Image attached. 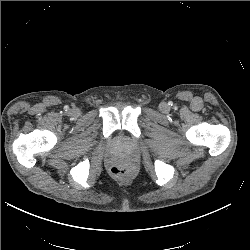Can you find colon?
<instances>
[{"instance_id":"colon-1","label":"colon","mask_w":250,"mask_h":250,"mask_svg":"<svg viewBox=\"0 0 250 250\" xmlns=\"http://www.w3.org/2000/svg\"><path fill=\"white\" fill-rule=\"evenodd\" d=\"M130 174V171L122 166H115L111 169V175L116 178L127 177Z\"/></svg>"}]
</instances>
